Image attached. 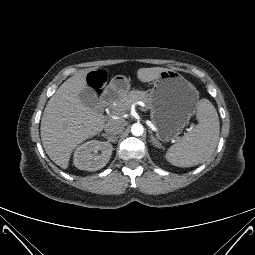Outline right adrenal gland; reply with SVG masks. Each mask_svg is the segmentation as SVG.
<instances>
[{
    "label": "right adrenal gland",
    "mask_w": 255,
    "mask_h": 255,
    "mask_svg": "<svg viewBox=\"0 0 255 255\" xmlns=\"http://www.w3.org/2000/svg\"><path fill=\"white\" fill-rule=\"evenodd\" d=\"M102 136H104L107 139L108 142H113L114 141V138H111L106 134H102Z\"/></svg>",
    "instance_id": "1"
}]
</instances>
